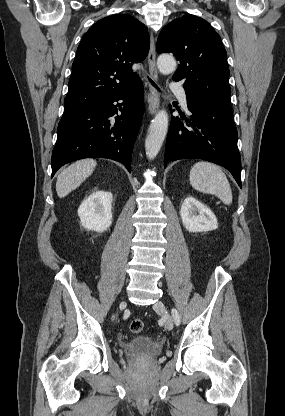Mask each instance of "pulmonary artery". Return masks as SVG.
Segmentation results:
<instances>
[{
	"label": "pulmonary artery",
	"mask_w": 285,
	"mask_h": 416,
	"mask_svg": "<svg viewBox=\"0 0 285 416\" xmlns=\"http://www.w3.org/2000/svg\"><path fill=\"white\" fill-rule=\"evenodd\" d=\"M173 90L178 96L181 106L187 111V93L185 88L182 85L178 84L173 86Z\"/></svg>",
	"instance_id": "1"
}]
</instances>
